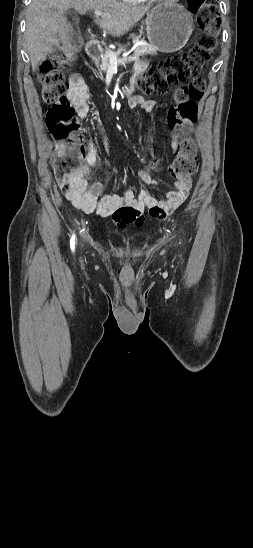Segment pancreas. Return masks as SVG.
Returning a JSON list of instances; mask_svg holds the SVG:
<instances>
[{"mask_svg":"<svg viewBox=\"0 0 253 548\" xmlns=\"http://www.w3.org/2000/svg\"><path fill=\"white\" fill-rule=\"evenodd\" d=\"M126 49L125 47L121 46L119 49L115 52H112L117 58H119V55L124 52ZM157 54V48L152 45H140L138 46L134 51V56L140 57L145 55H156ZM101 64H100V70L103 72H106L109 67L111 66L110 62V56L108 52H105L101 55ZM137 61H139L137 59ZM96 65H99V60L95 61Z\"/></svg>","mask_w":253,"mask_h":548,"instance_id":"1","label":"pancreas"}]
</instances>
